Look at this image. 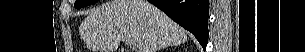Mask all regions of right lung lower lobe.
<instances>
[{"label":"right lung lower lobe","instance_id":"1","mask_svg":"<svg viewBox=\"0 0 305 52\" xmlns=\"http://www.w3.org/2000/svg\"><path fill=\"white\" fill-rule=\"evenodd\" d=\"M180 26L190 31L203 49L208 42V0H148Z\"/></svg>","mask_w":305,"mask_h":52}]
</instances>
